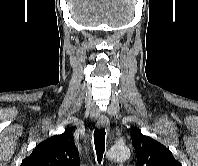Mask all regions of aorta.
Segmentation results:
<instances>
[{
	"label": "aorta",
	"mask_w": 198,
	"mask_h": 166,
	"mask_svg": "<svg viewBox=\"0 0 198 166\" xmlns=\"http://www.w3.org/2000/svg\"><path fill=\"white\" fill-rule=\"evenodd\" d=\"M130 155V149L125 145H114L107 153L108 158L114 161L127 160L129 159Z\"/></svg>",
	"instance_id": "obj_1"
}]
</instances>
